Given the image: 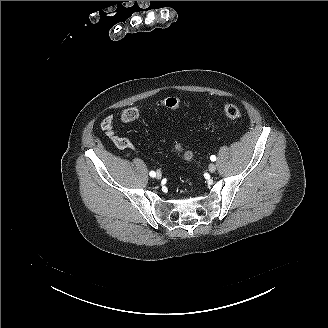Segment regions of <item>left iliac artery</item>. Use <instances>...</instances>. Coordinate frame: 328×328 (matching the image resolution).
Instances as JSON below:
<instances>
[{"label": "left iliac artery", "mask_w": 328, "mask_h": 328, "mask_svg": "<svg viewBox=\"0 0 328 328\" xmlns=\"http://www.w3.org/2000/svg\"><path fill=\"white\" fill-rule=\"evenodd\" d=\"M210 159H211V161H216V156H215V155H212V156L210 157Z\"/></svg>", "instance_id": "left-iliac-artery-1"}]
</instances>
